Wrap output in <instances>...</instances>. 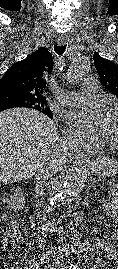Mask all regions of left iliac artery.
I'll return each instance as SVG.
<instances>
[{"instance_id":"44dca946","label":"left iliac artery","mask_w":118,"mask_h":269,"mask_svg":"<svg viewBox=\"0 0 118 269\" xmlns=\"http://www.w3.org/2000/svg\"><path fill=\"white\" fill-rule=\"evenodd\" d=\"M69 269H79V268L76 265L71 264L70 267H69Z\"/></svg>"}]
</instances>
